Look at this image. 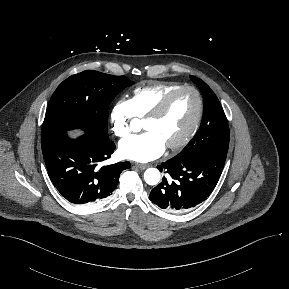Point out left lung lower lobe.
<instances>
[{
	"mask_svg": "<svg viewBox=\"0 0 289 289\" xmlns=\"http://www.w3.org/2000/svg\"><path fill=\"white\" fill-rule=\"evenodd\" d=\"M227 152L203 151L186 159L172 158L157 168L170 177L152 189L149 199L166 211L179 213L202 203L215 188Z\"/></svg>",
	"mask_w": 289,
	"mask_h": 289,
	"instance_id": "left-lung-lower-lobe-1",
	"label": "left lung lower lobe"
}]
</instances>
